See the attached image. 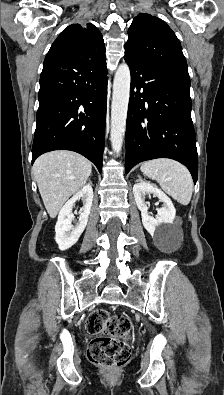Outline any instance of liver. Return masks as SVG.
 Listing matches in <instances>:
<instances>
[{"instance_id":"6515ba94","label":"liver","mask_w":224,"mask_h":395,"mask_svg":"<svg viewBox=\"0 0 224 395\" xmlns=\"http://www.w3.org/2000/svg\"><path fill=\"white\" fill-rule=\"evenodd\" d=\"M91 172V162L72 151H52L36 159L34 177L51 218H55L69 197L86 184Z\"/></svg>"}]
</instances>
